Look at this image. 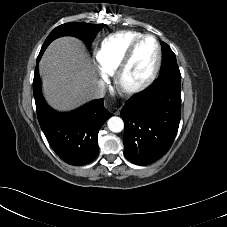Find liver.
<instances>
[{
    "instance_id": "obj_1",
    "label": "liver",
    "mask_w": 227,
    "mask_h": 227,
    "mask_svg": "<svg viewBox=\"0 0 227 227\" xmlns=\"http://www.w3.org/2000/svg\"><path fill=\"white\" fill-rule=\"evenodd\" d=\"M39 73L44 95L57 110L68 111L92 99L96 73L86 48L76 38L54 40L40 60Z\"/></svg>"
}]
</instances>
